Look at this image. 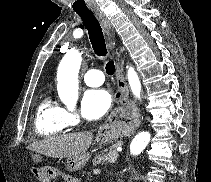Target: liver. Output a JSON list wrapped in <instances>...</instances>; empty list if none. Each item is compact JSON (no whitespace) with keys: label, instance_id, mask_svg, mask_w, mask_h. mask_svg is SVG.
Instances as JSON below:
<instances>
[{"label":"liver","instance_id":"liver-1","mask_svg":"<svg viewBox=\"0 0 211 182\" xmlns=\"http://www.w3.org/2000/svg\"><path fill=\"white\" fill-rule=\"evenodd\" d=\"M93 141L91 132L54 136L33 142L28 149L55 158H70L87 153Z\"/></svg>","mask_w":211,"mask_h":182}]
</instances>
